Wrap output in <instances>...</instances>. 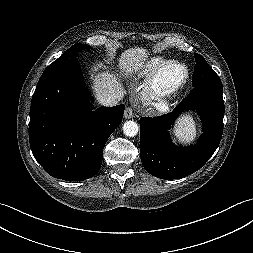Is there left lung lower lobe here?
Listing matches in <instances>:
<instances>
[{
	"label": "left lung lower lobe",
	"mask_w": 253,
	"mask_h": 253,
	"mask_svg": "<svg viewBox=\"0 0 253 253\" xmlns=\"http://www.w3.org/2000/svg\"><path fill=\"white\" fill-rule=\"evenodd\" d=\"M223 88L212 85L194 87L172 113L140 119L141 161L151 175L177 179L199 170L217 149L223 133ZM194 109L203 122V134L190 147L172 143L169 130L178 115Z\"/></svg>",
	"instance_id": "left-lung-lower-lobe-1"
}]
</instances>
